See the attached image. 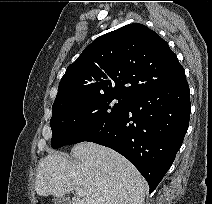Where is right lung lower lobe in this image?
<instances>
[{"mask_svg":"<svg viewBox=\"0 0 212 204\" xmlns=\"http://www.w3.org/2000/svg\"><path fill=\"white\" fill-rule=\"evenodd\" d=\"M190 116L185 73L163 86L132 94L121 116L85 141L127 158L155 190L182 145Z\"/></svg>","mask_w":212,"mask_h":204,"instance_id":"98d812e1","label":"right lung lower lobe"}]
</instances>
